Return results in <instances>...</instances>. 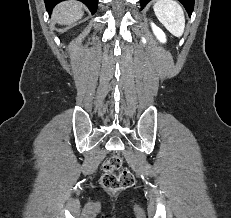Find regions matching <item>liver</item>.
Listing matches in <instances>:
<instances>
[{
  "mask_svg": "<svg viewBox=\"0 0 231 218\" xmlns=\"http://www.w3.org/2000/svg\"><path fill=\"white\" fill-rule=\"evenodd\" d=\"M82 8L78 1H65L55 7L53 17L60 25H70L83 17Z\"/></svg>",
  "mask_w": 231,
  "mask_h": 218,
  "instance_id": "obj_1",
  "label": "liver"
}]
</instances>
